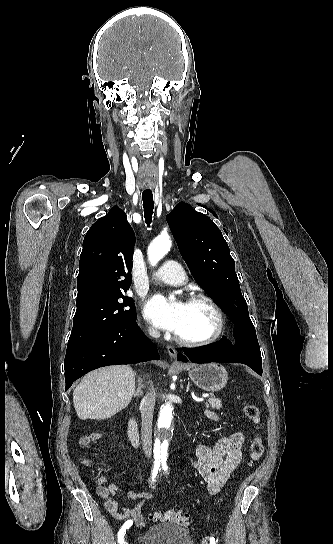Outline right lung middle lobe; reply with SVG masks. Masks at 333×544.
<instances>
[{
	"label": "right lung middle lobe",
	"instance_id": "right-lung-middle-lobe-1",
	"mask_svg": "<svg viewBox=\"0 0 333 544\" xmlns=\"http://www.w3.org/2000/svg\"><path fill=\"white\" fill-rule=\"evenodd\" d=\"M124 291L98 293L76 300L77 310L67 348L135 319L134 301L125 296Z\"/></svg>",
	"mask_w": 333,
	"mask_h": 544
}]
</instances>
